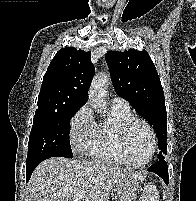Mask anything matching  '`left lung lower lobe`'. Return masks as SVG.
Segmentation results:
<instances>
[{
	"label": "left lung lower lobe",
	"instance_id": "left-lung-lower-lobe-1",
	"mask_svg": "<svg viewBox=\"0 0 196 201\" xmlns=\"http://www.w3.org/2000/svg\"><path fill=\"white\" fill-rule=\"evenodd\" d=\"M148 170L159 175L166 184L169 183L168 166L166 164V161L164 160V157L159 159V161L151 166Z\"/></svg>",
	"mask_w": 196,
	"mask_h": 201
}]
</instances>
